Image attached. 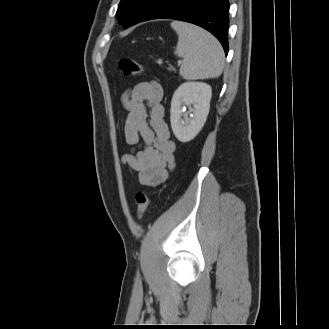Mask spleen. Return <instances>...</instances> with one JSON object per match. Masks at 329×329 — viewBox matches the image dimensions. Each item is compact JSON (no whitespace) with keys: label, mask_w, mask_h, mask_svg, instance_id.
<instances>
[{"label":"spleen","mask_w":329,"mask_h":329,"mask_svg":"<svg viewBox=\"0 0 329 329\" xmlns=\"http://www.w3.org/2000/svg\"><path fill=\"white\" fill-rule=\"evenodd\" d=\"M171 27L178 35L175 54L183 58L181 77L187 80L219 77L224 67V51L219 41L190 23L173 21Z\"/></svg>","instance_id":"1"}]
</instances>
